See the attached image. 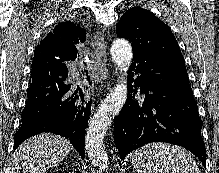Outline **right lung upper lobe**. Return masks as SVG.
I'll use <instances>...</instances> for the list:
<instances>
[{"label": "right lung upper lobe", "mask_w": 219, "mask_h": 173, "mask_svg": "<svg viewBox=\"0 0 219 173\" xmlns=\"http://www.w3.org/2000/svg\"><path fill=\"white\" fill-rule=\"evenodd\" d=\"M85 30L72 22L58 24L36 47L32 66L43 62H65L77 57L76 45L85 40Z\"/></svg>", "instance_id": "1"}]
</instances>
